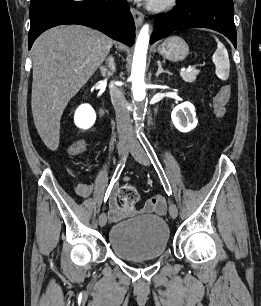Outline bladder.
I'll return each mask as SVG.
<instances>
[{
	"label": "bladder",
	"instance_id": "1",
	"mask_svg": "<svg viewBox=\"0 0 261 306\" xmlns=\"http://www.w3.org/2000/svg\"><path fill=\"white\" fill-rule=\"evenodd\" d=\"M170 230L157 215L143 214L114 224L109 244L116 256L128 261L155 259L168 249Z\"/></svg>",
	"mask_w": 261,
	"mask_h": 306
}]
</instances>
